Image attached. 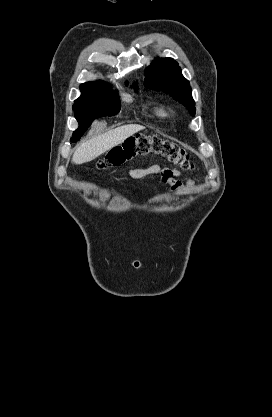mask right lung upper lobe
Segmentation results:
<instances>
[{
    "instance_id": "cb5924a9",
    "label": "right lung upper lobe",
    "mask_w": 272,
    "mask_h": 417,
    "mask_svg": "<svg viewBox=\"0 0 272 417\" xmlns=\"http://www.w3.org/2000/svg\"><path fill=\"white\" fill-rule=\"evenodd\" d=\"M137 89V87H134ZM81 96L75 100V103L82 102L89 96L95 94H116L111 86L103 81L86 82L80 86Z\"/></svg>"
}]
</instances>
